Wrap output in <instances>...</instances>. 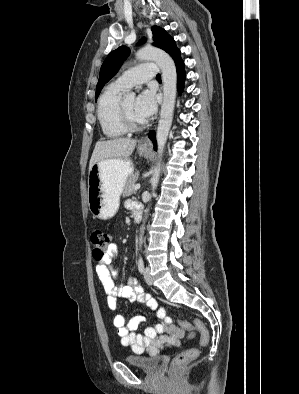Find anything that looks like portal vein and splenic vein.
<instances>
[{
    "instance_id": "obj_1",
    "label": "portal vein and splenic vein",
    "mask_w": 299,
    "mask_h": 394,
    "mask_svg": "<svg viewBox=\"0 0 299 394\" xmlns=\"http://www.w3.org/2000/svg\"><path fill=\"white\" fill-rule=\"evenodd\" d=\"M140 184L138 183V184H136L135 186H134V190H138V189H140Z\"/></svg>"
}]
</instances>
